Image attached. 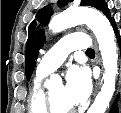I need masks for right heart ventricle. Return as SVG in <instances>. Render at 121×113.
<instances>
[{"label":"right heart ventricle","instance_id":"e07e8e85","mask_svg":"<svg viewBox=\"0 0 121 113\" xmlns=\"http://www.w3.org/2000/svg\"><path fill=\"white\" fill-rule=\"evenodd\" d=\"M45 76L46 75L37 73L33 83L28 102V108L32 113H49L46 106V92L42 86V80Z\"/></svg>","mask_w":121,"mask_h":113}]
</instances>
